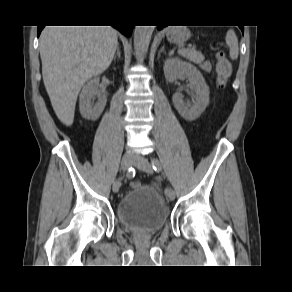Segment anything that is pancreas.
<instances>
[{"mask_svg":"<svg viewBox=\"0 0 292 292\" xmlns=\"http://www.w3.org/2000/svg\"><path fill=\"white\" fill-rule=\"evenodd\" d=\"M186 59L194 62L195 64H200L204 61V56L201 52L196 51L193 48H186L184 52L180 53Z\"/></svg>","mask_w":292,"mask_h":292,"instance_id":"pancreas-1","label":"pancreas"}]
</instances>
